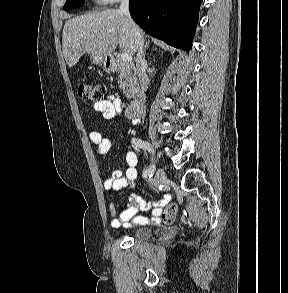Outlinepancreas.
<instances>
[{
    "mask_svg": "<svg viewBox=\"0 0 288 293\" xmlns=\"http://www.w3.org/2000/svg\"><path fill=\"white\" fill-rule=\"evenodd\" d=\"M117 67L119 86L126 97L132 98L137 90L135 67L133 63H125L121 60L117 61Z\"/></svg>",
    "mask_w": 288,
    "mask_h": 293,
    "instance_id": "cf45deb5",
    "label": "pancreas"
}]
</instances>
